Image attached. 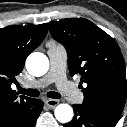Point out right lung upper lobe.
<instances>
[{"mask_svg": "<svg viewBox=\"0 0 127 127\" xmlns=\"http://www.w3.org/2000/svg\"><path fill=\"white\" fill-rule=\"evenodd\" d=\"M48 32L47 24L12 25L0 29V127H13L32 113L34 99L17 96L11 84L22 72L27 56L36 49Z\"/></svg>", "mask_w": 127, "mask_h": 127, "instance_id": "1", "label": "right lung upper lobe"}]
</instances>
